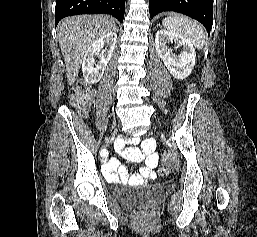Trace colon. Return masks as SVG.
I'll list each match as a JSON object with an SVG mask.
<instances>
[{
    "label": "colon",
    "instance_id": "1",
    "mask_svg": "<svg viewBox=\"0 0 257 237\" xmlns=\"http://www.w3.org/2000/svg\"><path fill=\"white\" fill-rule=\"evenodd\" d=\"M93 92L85 82H78L71 93L72 105L81 112L87 111L91 106ZM164 165L160 169L162 175L169 173L176 166V157L173 153H167L163 156Z\"/></svg>",
    "mask_w": 257,
    "mask_h": 237
}]
</instances>
